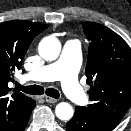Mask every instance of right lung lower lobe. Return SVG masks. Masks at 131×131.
Instances as JSON below:
<instances>
[{
  "mask_svg": "<svg viewBox=\"0 0 131 131\" xmlns=\"http://www.w3.org/2000/svg\"><path fill=\"white\" fill-rule=\"evenodd\" d=\"M35 105H36V103H35V101H34V104H33V106H32L31 111L29 112L28 116L26 117V119L24 120L23 124L20 126V128H19L18 131H23V130L25 129V127H26V125H27V123H28V120H29V118H30L31 112H32L33 108L35 107Z\"/></svg>",
  "mask_w": 131,
  "mask_h": 131,
  "instance_id": "1",
  "label": "right lung lower lobe"
}]
</instances>
